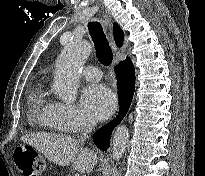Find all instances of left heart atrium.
I'll return each instance as SVG.
<instances>
[{
    "label": "left heart atrium",
    "mask_w": 205,
    "mask_h": 176,
    "mask_svg": "<svg viewBox=\"0 0 205 176\" xmlns=\"http://www.w3.org/2000/svg\"><path fill=\"white\" fill-rule=\"evenodd\" d=\"M82 105L95 119H106L114 110L116 97L105 84H91L82 91Z\"/></svg>",
    "instance_id": "left-heart-atrium-1"
}]
</instances>
